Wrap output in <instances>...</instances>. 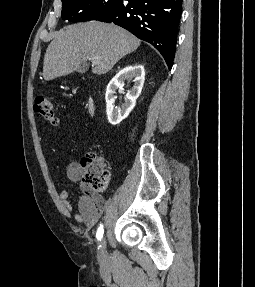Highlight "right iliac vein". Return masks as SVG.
<instances>
[{"instance_id": "1", "label": "right iliac vein", "mask_w": 255, "mask_h": 287, "mask_svg": "<svg viewBox=\"0 0 255 287\" xmlns=\"http://www.w3.org/2000/svg\"><path fill=\"white\" fill-rule=\"evenodd\" d=\"M101 244H102V248H101V250L99 251V259H100L101 261H104V260L106 259V254H105L106 241H105V238L102 239Z\"/></svg>"}]
</instances>
